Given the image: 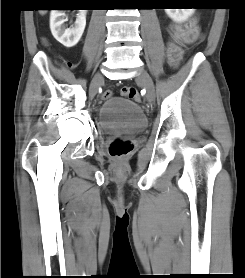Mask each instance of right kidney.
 Segmentation results:
<instances>
[{
    "label": "right kidney",
    "instance_id": "obj_1",
    "mask_svg": "<svg viewBox=\"0 0 245 278\" xmlns=\"http://www.w3.org/2000/svg\"><path fill=\"white\" fill-rule=\"evenodd\" d=\"M65 10H51L50 13V29L54 38L65 47L75 46L86 26V10H79L77 19L71 28L65 26L67 19Z\"/></svg>",
    "mask_w": 245,
    "mask_h": 278
}]
</instances>
